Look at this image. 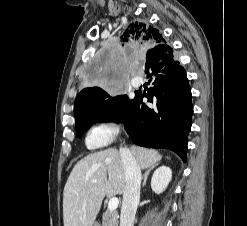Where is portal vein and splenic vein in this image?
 <instances>
[{"mask_svg": "<svg viewBox=\"0 0 247 226\" xmlns=\"http://www.w3.org/2000/svg\"><path fill=\"white\" fill-rule=\"evenodd\" d=\"M94 183L97 182V180H93ZM118 204H119V200L117 197H113L109 200V203H108V210L109 211H115L118 207Z\"/></svg>", "mask_w": 247, "mask_h": 226, "instance_id": "1", "label": "portal vein and splenic vein"}]
</instances>
